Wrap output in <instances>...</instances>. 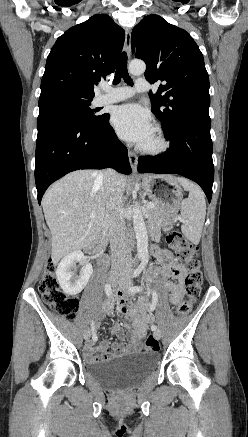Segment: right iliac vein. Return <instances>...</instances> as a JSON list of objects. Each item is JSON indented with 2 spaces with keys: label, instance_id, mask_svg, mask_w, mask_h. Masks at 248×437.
<instances>
[{
  "label": "right iliac vein",
  "instance_id": "obj_1",
  "mask_svg": "<svg viewBox=\"0 0 248 437\" xmlns=\"http://www.w3.org/2000/svg\"><path fill=\"white\" fill-rule=\"evenodd\" d=\"M118 280V276L117 275H111L109 278L110 283L112 284V286H115ZM90 337V333L89 331H86L84 334V338L87 340Z\"/></svg>",
  "mask_w": 248,
  "mask_h": 437
}]
</instances>
